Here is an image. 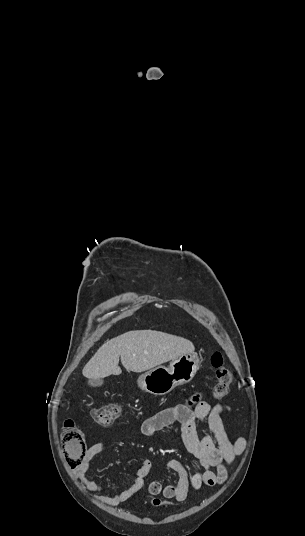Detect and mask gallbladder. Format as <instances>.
<instances>
[{"instance_id":"bac80fb5","label":"gallbladder","mask_w":305,"mask_h":536,"mask_svg":"<svg viewBox=\"0 0 305 536\" xmlns=\"http://www.w3.org/2000/svg\"><path fill=\"white\" fill-rule=\"evenodd\" d=\"M88 384L89 386H102L103 380H101V378H96V380H92V378H88Z\"/></svg>"}]
</instances>
